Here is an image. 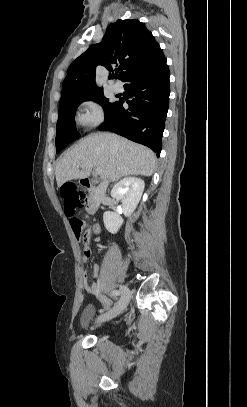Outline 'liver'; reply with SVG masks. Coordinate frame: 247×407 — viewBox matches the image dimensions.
<instances>
[{"label": "liver", "mask_w": 247, "mask_h": 407, "mask_svg": "<svg viewBox=\"0 0 247 407\" xmlns=\"http://www.w3.org/2000/svg\"><path fill=\"white\" fill-rule=\"evenodd\" d=\"M155 164V154L149 148L115 134L98 133L81 139L65 153L55 176L60 187L68 180L89 177L95 167L102 179L116 181L131 175L151 176Z\"/></svg>", "instance_id": "liver-1"}]
</instances>
